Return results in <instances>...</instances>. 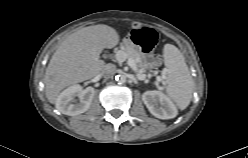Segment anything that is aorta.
I'll list each match as a JSON object with an SVG mask.
<instances>
[{
	"instance_id": "1",
	"label": "aorta",
	"mask_w": 248,
	"mask_h": 158,
	"mask_svg": "<svg viewBox=\"0 0 248 158\" xmlns=\"http://www.w3.org/2000/svg\"><path fill=\"white\" fill-rule=\"evenodd\" d=\"M116 80L119 81L120 83H125L126 82V77L123 76V75H118Z\"/></svg>"
}]
</instances>
